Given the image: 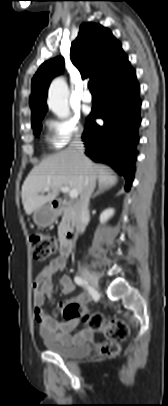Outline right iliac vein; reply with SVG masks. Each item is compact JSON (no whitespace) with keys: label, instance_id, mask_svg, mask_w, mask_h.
Listing matches in <instances>:
<instances>
[{"label":"right iliac vein","instance_id":"63e3f726","mask_svg":"<svg viewBox=\"0 0 168 406\" xmlns=\"http://www.w3.org/2000/svg\"><path fill=\"white\" fill-rule=\"evenodd\" d=\"M82 277L88 281L91 286L95 289H98L99 284H98V279L96 278L95 275H93L90 271H88L87 269L82 270Z\"/></svg>","mask_w":168,"mask_h":406}]
</instances>
